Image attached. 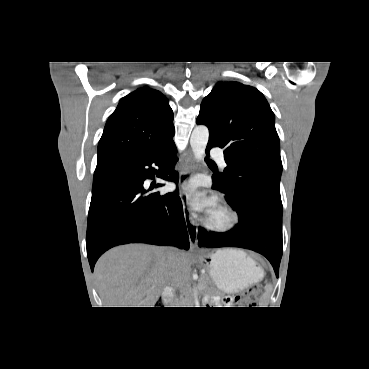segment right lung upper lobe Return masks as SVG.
I'll return each mask as SVG.
<instances>
[{"instance_id": "obj_1", "label": "right lung upper lobe", "mask_w": 369, "mask_h": 369, "mask_svg": "<svg viewBox=\"0 0 369 369\" xmlns=\"http://www.w3.org/2000/svg\"><path fill=\"white\" fill-rule=\"evenodd\" d=\"M173 111L167 99L147 87L123 97L110 115L98 144L97 164L115 163L173 138Z\"/></svg>"}]
</instances>
